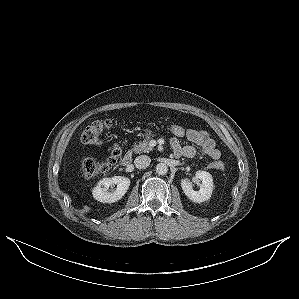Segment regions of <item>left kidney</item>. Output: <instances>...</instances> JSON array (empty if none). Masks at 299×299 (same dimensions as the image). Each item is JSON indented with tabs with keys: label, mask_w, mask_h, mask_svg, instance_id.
<instances>
[{
	"label": "left kidney",
	"mask_w": 299,
	"mask_h": 299,
	"mask_svg": "<svg viewBox=\"0 0 299 299\" xmlns=\"http://www.w3.org/2000/svg\"><path fill=\"white\" fill-rule=\"evenodd\" d=\"M196 178L201 180L200 189L194 191L192 183L188 178L181 180V187L185 195L193 202L200 203L210 199L213 191V178L212 175L206 171H197Z\"/></svg>",
	"instance_id": "obj_1"
}]
</instances>
